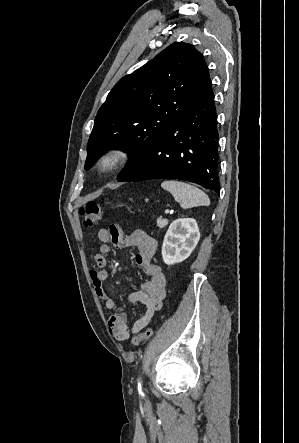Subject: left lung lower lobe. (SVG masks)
<instances>
[{
  "label": "left lung lower lobe",
  "mask_w": 299,
  "mask_h": 443,
  "mask_svg": "<svg viewBox=\"0 0 299 443\" xmlns=\"http://www.w3.org/2000/svg\"><path fill=\"white\" fill-rule=\"evenodd\" d=\"M211 82L144 158L119 181L172 178L220 193L218 132Z\"/></svg>",
  "instance_id": "obj_1"
}]
</instances>
